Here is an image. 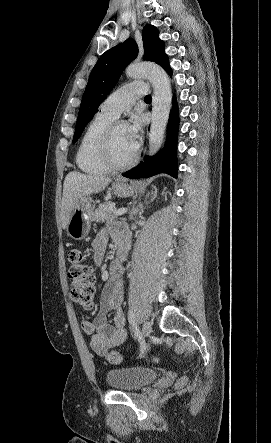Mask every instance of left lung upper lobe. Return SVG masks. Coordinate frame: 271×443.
Wrapping results in <instances>:
<instances>
[{"label":"left lung upper lobe","mask_w":271,"mask_h":443,"mask_svg":"<svg viewBox=\"0 0 271 443\" xmlns=\"http://www.w3.org/2000/svg\"><path fill=\"white\" fill-rule=\"evenodd\" d=\"M144 59L158 61L164 54V42L159 39L156 27L146 25L142 32ZM138 47L134 40L127 39L106 51L92 69L76 123L73 143L83 132L86 124L95 115L98 106L115 87L125 67L137 57Z\"/></svg>","instance_id":"left-lung-upper-lobe-1"}]
</instances>
